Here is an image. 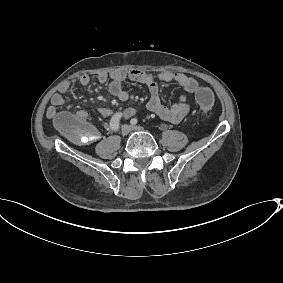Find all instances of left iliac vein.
Listing matches in <instances>:
<instances>
[{
    "mask_svg": "<svg viewBox=\"0 0 283 283\" xmlns=\"http://www.w3.org/2000/svg\"><path fill=\"white\" fill-rule=\"evenodd\" d=\"M131 130H133V131H141V130H143V128L140 127V126H131Z\"/></svg>",
    "mask_w": 283,
    "mask_h": 283,
    "instance_id": "1",
    "label": "left iliac vein"
}]
</instances>
